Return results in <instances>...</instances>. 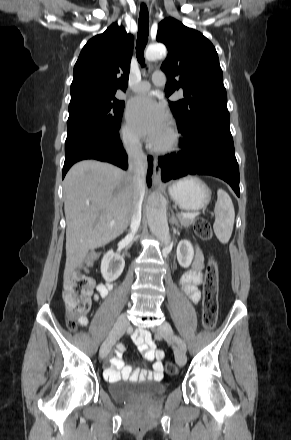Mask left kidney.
I'll use <instances>...</instances> for the list:
<instances>
[{"label": "left kidney", "mask_w": 291, "mask_h": 440, "mask_svg": "<svg viewBox=\"0 0 291 440\" xmlns=\"http://www.w3.org/2000/svg\"><path fill=\"white\" fill-rule=\"evenodd\" d=\"M177 260L180 266L188 268L193 260L194 249L190 241L182 240L177 245Z\"/></svg>", "instance_id": "5707ae66"}]
</instances>
